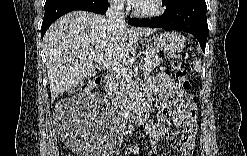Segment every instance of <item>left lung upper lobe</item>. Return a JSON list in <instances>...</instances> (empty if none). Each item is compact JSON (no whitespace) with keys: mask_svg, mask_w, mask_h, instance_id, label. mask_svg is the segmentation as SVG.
Listing matches in <instances>:
<instances>
[{"mask_svg":"<svg viewBox=\"0 0 247 156\" xmlns=\"http://www.w3.org/2000/svg\"><path fill=\"white\" fill-rule=\"evenodd\" d=\"M175 1H176V0H166V1H165V4H166V6H168V5L173 4Z\"/></svg>","mask_w":247,"mask_h":156,"instance_id":"obj_1","label":"left lung upper lobe"}]
</instances>
